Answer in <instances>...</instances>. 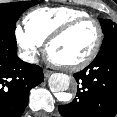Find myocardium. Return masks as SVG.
<instances>
[{
	"mask_svg": "<svg viewBox=\"0 0 117 117\" xmlns=\"http://www.w3.org/2000/svg\"><path fill=\"white\" fill-rule=\"evenodd\" d=\"M88 21L93 22L97 29V39H96L95 45H94L92 51L89 53V55L87 57H85L84 59H82L81 61H78V62L72 63V64H61V63L55 62L50 57L51 46L56 41L65 37L76 26H78L81 23L88 22ZM102 42H103V29H102L100 22L91 16L80 17V18H76L74 20L67 22L66 24H64L62 27H60L58 30H56L54 33H52L48 37V39L45 42V55H46L48 62L52 66H54L60 70L67 71V72L79 71V70L87 67L94 61V59L96 58V56L98 55V53L101 49Z\"/></svg>",
	"mask_w": 117,
	"mask_h": 117,
	"instance_id": "myocardium-1",
	"label": "myocardium"
}]
</instances>
